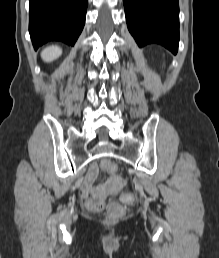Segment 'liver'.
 <instances>
[{"label": "liver", "instance_id": "liver-1", "mask_svg": "<svg viewBox=\"0 0 219 258\" xmlns=\"http://www.w3.org/2000/svg\"><path fill=\"white\" fill-rule=\"evenodd\" d=\"M61 54L62 50L60 47L50 46L42 51L41 57L45 62H52L53 60L57 59Z\"/></svg>", "mask_w": 219, "mask_h": 258}]
</instances>
